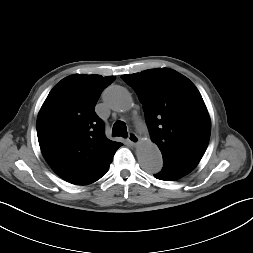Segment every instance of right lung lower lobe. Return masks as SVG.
<instances>
[{
    "instance_id": "obj_1",
    "label": "right lung lower lobe",
    "mask_w": 253,
    "mask_h": 253,
    "mask_svg": "<svg viewBox=\"0 0 253 253\" xmlns=\"http://www.w3.org/2000/svg\"><path fill=\"white\" fill-rule=\"evenodd\" d=\"M121 145H122L121 143H118V145L115 147V150H114V152H113V154H112V156H111V158H110V160H109V165H110V163H111L112 160H113V156H114L116 150H117ZM109 165H108V168H109Z\"/></svg>"
}]
</instances>
